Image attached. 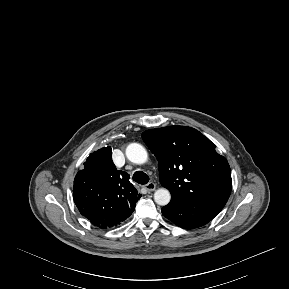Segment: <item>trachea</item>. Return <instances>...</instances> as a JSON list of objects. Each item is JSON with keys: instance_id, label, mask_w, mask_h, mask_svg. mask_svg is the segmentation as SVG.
<instances>
[{"instance_id": "3493384b", "label": "trachea", "mask_w": 289, "mask_h": 289, "mask_svg": "<svg viewBox=\"0 0 289 289\" xmlns=\"http://www.w3.org/2000/svg\"><path fill=\"white\" fill-rule=\"evenodd\" d=\"M133 180L139 184H147L149 182V176L143 171H136L133 175Z\"/></svg>"}]
</instances>
